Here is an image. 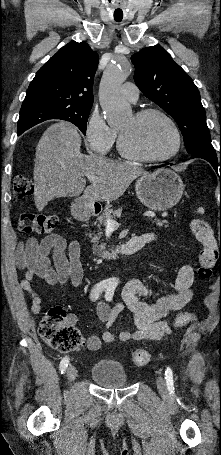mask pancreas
Masks as SVG:
<instances>
[{"mask_svg":"<svg viewBox=\"0 0 221 455\" xmlns=\"http://www.w3.org/2000/svg\"><path fill=\"white\" fill-rule=\"evenodd\" d=\"M120 214V210H113L110 208H106L103 213L98 217V228L100 232L92 238V243H93V253L96 255H102L105 252V244H99L100 240V235H101V226L104 225L106 226L107 219L115 217ZM157 226H167L168 221L167 220H160V219H154L153 221Z\"/></svg>","mask_w":221,"mask_h":455,"instance_id":"1","label":"pancreas"}]
</instances>
